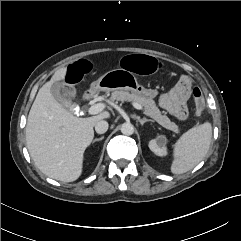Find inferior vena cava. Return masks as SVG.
Here are the masks:
<instances>
[{"label":"inferior vena cava","mask_w":241,"mask_h":241,"mask_svg":"<svg viewBox=\"0 0 241 241\" xmlns=\"http://www.w3.org/2000/svg\"><path fill=\"white\" fill-rule=\"evenodd\" d=\"M108 130V122L105 120H100L95 124V131L98 134H103Z\"/></svg>","instance_id":"602c4592"}]
</instances>
